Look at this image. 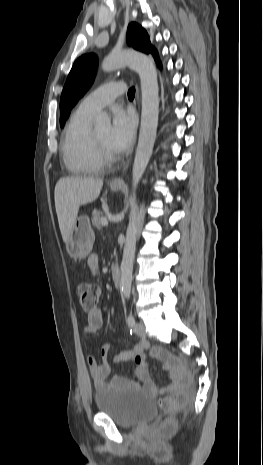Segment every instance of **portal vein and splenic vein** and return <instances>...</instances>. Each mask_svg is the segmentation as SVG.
Returning <instances> with one entry per match:
<instances>
[{"label": "portal vein and splenic vein", "instance_id": "1", "mask_svg": "<svg viewBox=\"0 0 263 465\" xmlns=\"http://www.w3.org/2000/svg\"><path fill=\"white\" fill-rule=\"evenodd\" d=\"M101 224L102 226H107L108 225V220L106 218L101 219Z\"/></svg>", "mask_w": 263, "mask_h": 465}]
</instances>
